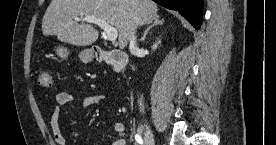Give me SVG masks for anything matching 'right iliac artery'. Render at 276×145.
Returning <instances> with one entry per match:
<instances>
[{
    "label": "right iliac artery",
    "mask_w": 276,
    "mask_h": 145,
    "mask_svg": "<svg viewBox=\"0 0 276 145\" xmlns=\"http://www.w3.org/2000/svg\"><path fill=\"white\" fill-rule=\"evenodd\" d=\"M135 140L137 141V143H139L141 145L143 144V140L139 134L135 135Z\"/></svg>",
    "instance_id": "obj_1"
}]
</instances>
